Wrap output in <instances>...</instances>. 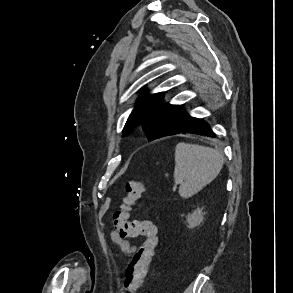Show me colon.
<instances>
[{"instance_id":"5ec220e1","label":"colon","mask_w":293,"mask_h":293,"mask_svg":"<svg viewBox=\"0 0 293 293\" xmlns=\"http://www.w3.org/2000/svg\"><path fill=\"white\" fill-rule=\"evenodd\" d=\"M126 197L115 214V227L122 237L143 238L138 248L132 253L125 270L124 285L134 293L142 285L148 265L159 244L156 225L148 219L129 220L132 206L141 198L144 187L138 180H130L125 184Z\"/></svg>"}]
</instances>
